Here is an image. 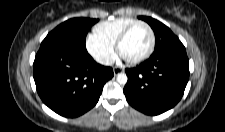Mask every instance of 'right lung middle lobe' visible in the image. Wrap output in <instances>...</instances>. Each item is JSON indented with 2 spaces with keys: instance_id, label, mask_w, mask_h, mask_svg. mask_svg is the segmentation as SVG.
<instances>
[{
  "instance_id": "dd1d6c3e",
  "label": "right lung middle lobe",
  "mask_w": 225,
  "mask_h": 132,
  "mask_svg": "<svg viewBox=\"0 0 225 132\" xmlns=\"http://www.w3.org/2000/svg\"><path fill=\"white\" fill-rule=\"evenodd\" d=\"M96 22H98V19H69L52 30L42 41L41 46H56L76 51H86V35L90 27Z\"/></svg>"
}]
</instances>
